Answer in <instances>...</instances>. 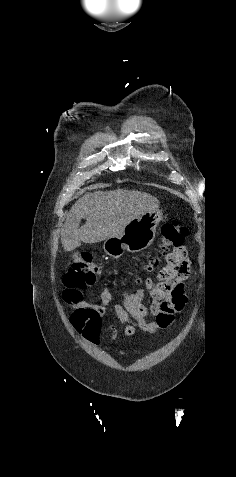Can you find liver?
I'll use <instances>...</instances> for the list:
<instances>
[{
  "mask_svg": "<svg viewBox=\"0 0 236 477\" xmlns=\"http://www.w3.org/2000/svg\"><path fill=\"white\" fill-rule=\"evenodd\" d=\"M159 208L154 196L135 190L95 191L76 201L61 230V243L71 251L84 243H97L122 234L135 218ZM86 223L79 228L81 219Z\"/></svg>",
  "mask_w": 236,
  "mask_h": 477,
  "instance_id": "liver-1",
  "label": "liver"
}]
</instances>
